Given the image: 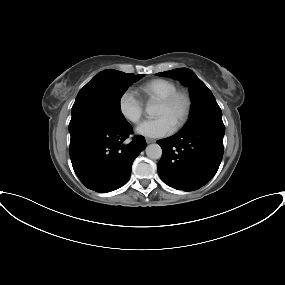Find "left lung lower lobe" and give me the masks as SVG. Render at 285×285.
Instances as JSON below:
<instances>
[{"label": "left lung lower lobe", "instance_id": "obj_1", "mask_svg": "<svg viewBox=\"0 0 285 285\" xmlns=\"http://www.w3.org/2000/svg\"><path fill=\"white\" fill-rule=\"evenodd\" d=\"M223 123L203 122L157 143L162 147L158 174L175 189L193 191L216 174L223 156Z\"/></svg>", "mask_w": 285, "mask_h": 285}]
</instances>
